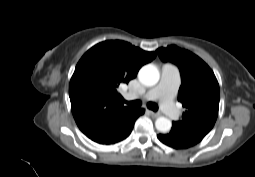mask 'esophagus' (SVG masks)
<instances>
[{
    "label": "esophagus",
    "mask_w": 255,
    "mask_h": 177,
    "mask_svg": "<svg viewBox=\"0 0 255 177\" xmlns=\"http://www.w3.org/2000/svg\"><path fill=\"white\" fill-rule=\"evenodd\" d=\"M149 113H150L151 116H153L155 118L160 116V113H158V112L149 111Z\"/></svg>",
    "instance_id": "34e87169"
}]
</instances>
